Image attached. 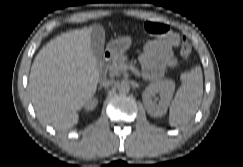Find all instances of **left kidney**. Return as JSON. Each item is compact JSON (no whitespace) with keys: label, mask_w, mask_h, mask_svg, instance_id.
<instances>
[{"label":"left kidney","mask_w":243,"mask_h":167,"mask_svg":"<svg viewBox=\"0 0 243 167\" xmlns=\"http://www.w3.org/2000/svg\"><path fill=\"white\" fill-rule=\"evenodd\" d=\"M174 89L175 83L169 80L150 84L142 94L147 112L154 117L163 116L170 104ZM156 93L160 94L158 103L153 100Z\"/></svg>","instance_id":"obj_1"}]
</instances>
